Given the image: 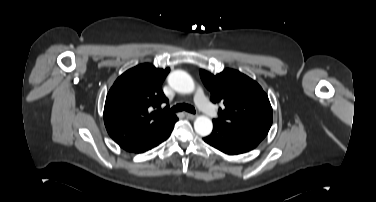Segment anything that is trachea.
Returning a JSON list of instances; mask_svg holds the SVG:
<instances>
[{
	"mask_svg": "<svg viewBox=\"0 0 376 202\" xmlns=\"http://www.w3.org/2000/svg\"><path fill=\"white\" fill-rule=\"evenodd\" d=\"M187 111V112H190V113H193L195 114V108L189 104H177L175 105L174 107H172L171 109H169V111L171 112H179V111Z\"/></svg>",
	"mask_w": 376,
	"mask_h": 202,
	"instance_id": "3493384b",
	"label": "trachea"
}]
</instances>
